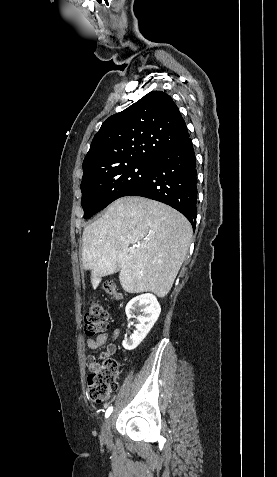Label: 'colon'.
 I'll return each instance as SVG.
<instances>
[{
    "instance_id": "obj_1",
    "label": "colon",
    "mask_w": 277,
    "mask_h": 477,
    "mask_svg": "<svg viewBox=\"0 0 277 477\" xmlns=\"http://www.w3.org/2000/svg\"><path fill=\"white\" fill-rule=\"evenodd\" d=\"M104 291L115 299H119L115 285L108 282ZM85 332L94 336L107 328L108 313L105 308L92 297L84 315ZM88 375V397L94 404L105 402L110 394L118 387L119 366L116 360L106 357L101 362H96L90 367Z\"/></svg>"
}]
</instances>
